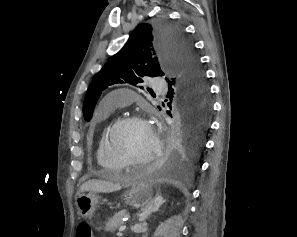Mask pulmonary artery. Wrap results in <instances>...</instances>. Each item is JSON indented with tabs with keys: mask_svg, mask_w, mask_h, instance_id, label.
I'll return each instance as SVG.
<instances>
[{
	"mask_svg": "<svg viewBox=\"0 0 297 237\" xmlns=\"http://www.w3.org/2000/svg\"><path fill=\"white\" fill-rule=\"evenodd\" d=\"M152 87L156 91H163L167 89V84L163 80H154L151 83ZM126 91H119L117 93H113L108 96L103 105L105 108L116 109L119 107H124L130 101L129 97H123L122 95L125 94Z\"/></svg>",
	"mask_w": 297,
	"mask_h": 237,
	"instance_id": "e3ab8cb5",
	"label": "pulmonary artery"
}]
</instances>
